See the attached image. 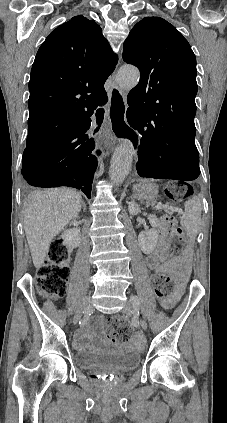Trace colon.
Here are the masks:
<instances>
[{
  "instance_id": "5ec220e1",
  "label": "colon",
  "mask_w": 227,
  "mask_h": 423,
  "mask_svg": "<svg viewBox=\"0 0 227 423\" xmlns=\"http://www.w3.org/2000/svg\"><path fill=\"white\" fill-rule=\"evenodd\" d=\"M191 193V188L187 186L170 188L166 195L173 200H183ZM166 229L175 228V219L171 215L163 218ZM183 247L181 229L176 228L174 235L167 245L171 252H178ZM167 256H165L166 258ZM70 276V252L68 248L59 242L51 245L44 264L39 268L36 277V284L39 292L46 297L60 298L66 292L67 283ZM154 290L160 299H168L172 296L174 286L172 280L163 274H155L152 278ZM114 329V336L128 338L132 333L131 325L120 317L110 320Z\"/></svg>"
}]
</instances>
